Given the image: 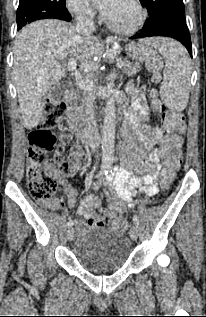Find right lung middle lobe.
<instances>
[{
    "label": "right lung middle lobe",
    "instance_id": "1",
    "mask_svg": "<svg viewBox=\"0 0 206 317\" xmlns=\"http://www.w3.org/2000/svg\"><path fill=\"white\" fill-rule=\"evenodd\" d=\"M65 0H20L17 9V26L22 28L35 20L55 18L68 14Z\"/></svg>",
    "mask_w": 206,
    "mask_h": 317
}]
</instances>
